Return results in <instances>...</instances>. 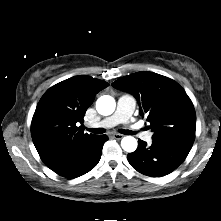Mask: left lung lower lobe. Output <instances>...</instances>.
Wrapping results in <instances>:
<instances>
[{"label": "left lung lower lobe", "instance_id": "1", "mask_svg": "<svg viewBox=\"0 0 221 221\" xmlns=\"http://www.w3.org/2000/svg\"><path fill=\"white\" fill-rule=\"evenodd\" d=\"M191 148L166 141L153 140L151 146L138 140V148L127 159L138 172L161 177L171 173L184 162Z\"/></svg>", "mask_w": 221, "mask_h": 221}]
</instances>
